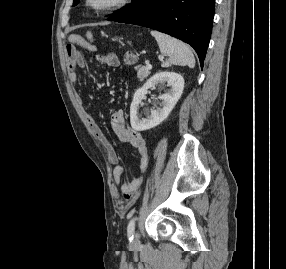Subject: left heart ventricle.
Masks as SVG:
<instances>
[{
	"label": "left heart ventricle",
	"mask_w": 286,
	"mask_h": 269,
	"mask_svg": "<svg viewBox=\"0 0 286 269\" xmlns=\"http://www.w3.org/2000/svg\"><path fill=\"white\" fill-rule=\"evenodd\" d=\"M97 5H103L113 0H94Z\"/></svg>",
	"instance_id": "left-heart-ventricle-1"
}]
</instances>
